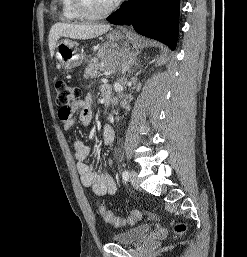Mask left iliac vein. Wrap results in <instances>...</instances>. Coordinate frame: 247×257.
<instances>
[{
	"mask_svg": "<svg viewBox=\"0 0 247 257\" xmlns=\"http://www.w3.org/2000/svg\"><path fill=\"white\" fill-rule=\"evenodd\" d=\"M130 183L134 186L137 187L138 186V174L135 170H132L130 172Z\"/></svg>",
	"mask_w": 247,
	"mask_h": 257,
	"instance_id": "4c4485c4",
	"label": "left iliac vein"
}]
</instances>
